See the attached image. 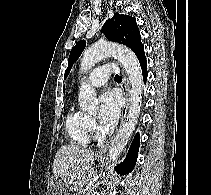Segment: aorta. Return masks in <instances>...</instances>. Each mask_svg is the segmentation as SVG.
Wrapping results in <instances>:
<instances>
[{
  "label": "aorta",
  "mask_w": 211,
  "mask_h": 195,
  "mask_svg": "<svg viewBox=\"0 0 211 195\" xmlns=\"http://www.w3.org/2000/svg\"><path fill=\"white\" fill-rule=\"evenodd\" d=\"M108 56L116 57L122 64L131 85V90L129 91L130 107L126 121L112 140L108 150L106 170L109 173L113 170L114 164L137 124L141 111L143 77L139 61L134 52L126 47L110 42H97L84 51L80 65L81 72L88 71L97 62ZM78 100L82 110L88 112L98 110L96 91L85 81L81 83Z\"/></svg>",
  "instance_id": "1"
}]
</instances>
